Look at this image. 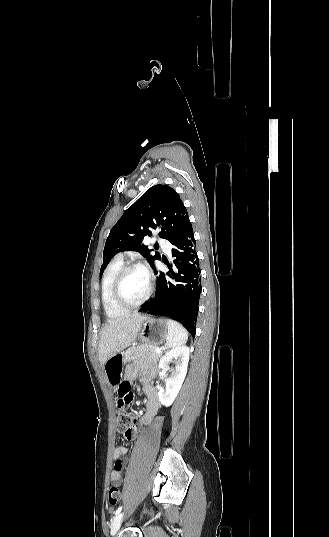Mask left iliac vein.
I'll use <instances>...</instances> for the list:
<instances>
[{
    "label": "left iliac vein",
    "instance_id": "1",
    "mask_svg": "<svg viewBox=\"0 0 329 537\" xmlns=\"http://www.w3.org/2000/svg\"><path fill=\"white\" fill-rule=\"evenodd\" d=\"M123 519H124V513H119L118 515L114 517L111 523V530H110L111 536H114L117 533V531L119 530L121 526Z\"/></svg>",
    "mask_w": 329,
    "mask_h": 537
}]
</instances>
